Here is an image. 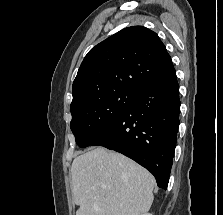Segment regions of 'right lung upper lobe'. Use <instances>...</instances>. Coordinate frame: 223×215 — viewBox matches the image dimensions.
Wrapping results in <instances>:
<instances>
[{
  "instance_id": "1",
  "label": "right lung upper lobe",
  "mask_w": 223,
  "mask_h": 215,
  "mask_svg": "<svg viewBox=\"0 0 223 215\" xmlns=\"http://www.w3.org/2000/svg\"><path fill=\"white\" fill-rule=\"evenodd\" d=\"M176 75L158 35L143 26L125 28L93 47L73 82L74 108L117 90L138 94Z\"/></svg>"
}]
</instances>
